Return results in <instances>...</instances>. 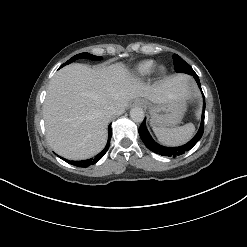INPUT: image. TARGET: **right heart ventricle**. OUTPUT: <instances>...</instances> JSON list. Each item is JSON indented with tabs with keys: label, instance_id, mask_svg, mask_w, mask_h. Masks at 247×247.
<instances>
[{
	"label": "right heart ventricle",
	"instance_id": "e07e8e85",
	"mask_svg": "<svg viewBox=\"0 0 247 247\" xmlns=\"http://www.w3.org/2000/svg\"><path fill=\"white\" fill-rule=\"evenodd\" d=\"M155 67V61L144 60L136 65L134 73L137 77L144 78L149 76L154 71Z\"/></svg>",
	"mask_w": 247,
	"mask_h": 247
}]
</instances>
